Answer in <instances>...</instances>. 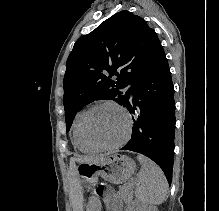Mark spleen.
I'll return each instance as SVG.
<instances>
[{
	"label": "spleen",
	"instance_id": "spleen-1",
	"mask_svg": "<svg viewBox=\"0 0 219 211\" xmlns=\"http://www.w3.org/2000/svg\"><path fill=\"white\" fill-rule=\"evenodd\" d=\"M141 163V169L137 173L136 181V197L142 203L147 205H158L166 199L168 191L167 179L152 159H148L145 155H138Z\"/></svg>",
	"mask_w": 219,
	"mask_h": 211
}]
</instances>
